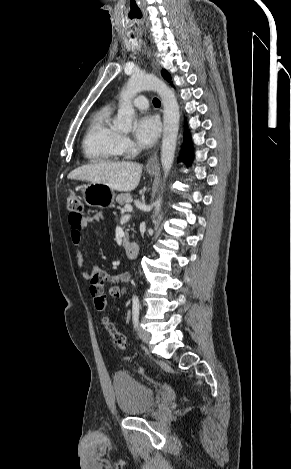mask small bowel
Instances as JSON below:
<instances>
[{
  "instance_id": "1",
  "label": "small bowel",
  "mask_w": 291,
  "mask_h": 469,
  "mask_svg": "<svg viewBox=\"0 0 291 469\" xmlns=\"http://www.w3.org/2000/svg\"><path fill=\"white\" fill-rule=\"evenodd\" d=\"M102 218L101 214H95L89 217H82L77 218L74 216H69L68 222L70 226V235L71 240L75 245H79L83 238V230L93 222H98ZM77 262L79 266L84 265V256L83 253L78 250L77 251ZM84 277L89 280L90 284V291L92 297L94 298L98 293H103V286L106 282L113 281L114 284L109 288V295L114 298L121 297L124 292L125 288L121 284L126 283L129 280V275L127 273H123L119 276L114 278L110 277L106 271H104L99 266H92L90 270L84 273Z\"/></svg>"
}]
</instances>
